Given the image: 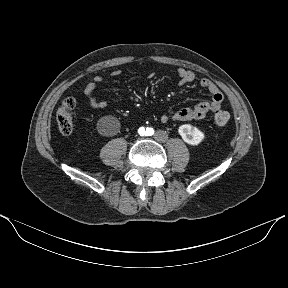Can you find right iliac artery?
<instances>
[{"label": "right iliac artery", "mask_w": 288, "mask_h": 288, "mask_svg": "<svg viewBox=\"0 0 288 288\" xmlns=\"http://www.w3.org/2000/svg\"><path fill=\"white\" fill-rule=\"evenodd\" d=\"M145 131V129L142 127V128H140V132H144ZM146 133V132H145Z\"/></svg>", "instance_id": "82829eb1"}]
</instances>
